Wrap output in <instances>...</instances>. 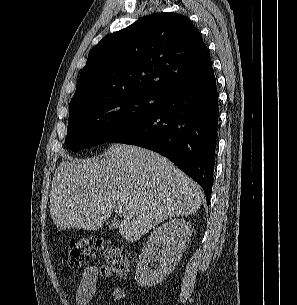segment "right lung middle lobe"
<instances>
[{"label":"right lung middle lobe","instance_id":"obj_1","mask_svg":"<svg viewBox=\"0 0 297 305\" xmlns=\"http://www.w3.org/2000/svg\"><path fill=\"white\" fill-rule=\"evenodd\" d=\"M160 103V94L126 92L69 111L66 146L73 150L99 145L142 120Z\"/></svg>","mask_w":297,"mask_h":305}]
</instances>
